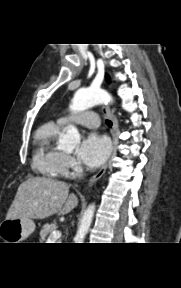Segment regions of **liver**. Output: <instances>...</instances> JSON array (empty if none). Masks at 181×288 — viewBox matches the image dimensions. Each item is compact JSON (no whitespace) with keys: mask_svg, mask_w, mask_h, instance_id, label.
<instances>
[{"mask_svg":"<svg viewBox=\"0 0 181 288\" xmlns=\"http://www.w3.org/2000/svg\"><path fill=\"white\" fill-rule=\"evenodd\" d=\"M78 205L77 196L69 195V185L46 177H30L20 184L6 219H44L65 215Z\"/></svg>","mask_w":181,"mask_h":288,"instance_id":"6515ba94","label":"liver"}]
</instances>
